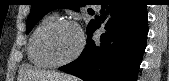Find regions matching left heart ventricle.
Here are the masks:
<instances>
[{
    "instance_id": "1",
    "label": "left heart ventricle",
    "mask_w": 169,
    "mask_h": 81,
    "mask_svg": "<svg viewBox=\"0 0 169 81\" xmlns=\"http://www.w3.org/2000/svg\"><path fill=\"white\" fill-rule=\"evenodd\" d=\"M79 43L80 38L77 29L71 26H62L50 36L48 50L55 60H64L77 50Z\"/></svg>"
}]
</instances>
